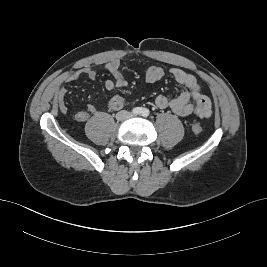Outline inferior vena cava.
Returning <instances> with one entry per match:
<instances>
[{"mask_svg": "<svg viewBox=\"0 0 267 267\" xmlns=\"http://www.w3.org/2000/svg\"><path fill=\"white\" fill-rule=\"evenodd\" d=\"M118 115H124L126 118H129L131 116V114L127 111H121L118 113Z\"/></svg>", "mask_w": 267, "mask_h": 267, "instance_id": "602c4592", "label": "inferior vena cava"}]
</instances>
